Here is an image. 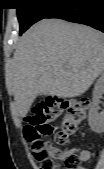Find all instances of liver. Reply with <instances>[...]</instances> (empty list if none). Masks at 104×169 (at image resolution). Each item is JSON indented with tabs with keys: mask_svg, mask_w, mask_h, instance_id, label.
Listing matches in <instances>:
<instances>
[{
	"mask_svg": "<svg viewBox=\"0 0 104 169\" xmlns=\"http://www.w3.org/2000/svg\"><path fill=\"white\" fill-rule=\"evenodd\" d=\"M104 69V35L86 25L43 19L20 38L8 77L19 115L38 95L72 98Z\"/></svg>",
	"mask_w": 104,
	"mask_h": 169,
	"instance_id": "6515ba94",
	"label": "liver"
}]
</instances>
